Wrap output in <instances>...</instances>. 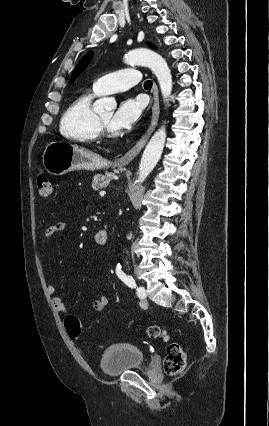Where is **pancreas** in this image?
Masks as SVG:
<instances>
[{"mask_svg":"<svg viewBox=\"0 0 269 426\" xmlns=\"http://www.w3.org/2000/svg\"><path fill=\"white\" fill-rule=\"evenodd\" d=\"M111 177H112L111 174H105V175L97 174V175H95L94 178H93V182H92V188L96 191L99 190V189L106 188L109 185V183L112 179Z\"/></svg>","mask_w":269,"mask_h":426,"instance_id":"obj_1","label":"pancreas"}]
</instances>
